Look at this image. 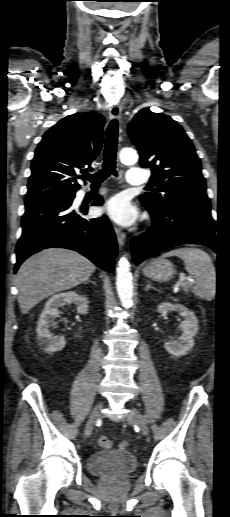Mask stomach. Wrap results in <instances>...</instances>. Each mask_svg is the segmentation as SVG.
I'll return each mask as SVG.
<instances>
[{
  "label": "stomach",
  "mask_w": 230,
  "mask_h": 517,
  "mask_svg": "<svg viewBox=\"0 0 230 517\" xmlns=\"http://www.w3.org/2000/svg\"><path fill=\"white\" fill-rule=\"evenodd\" d=\"M175 273L174 265L166 259L153 260L143 269L146 277L156 281H168Z\"/></svg>",
  "instance_id": "stomach-1"
}]
</instances>
